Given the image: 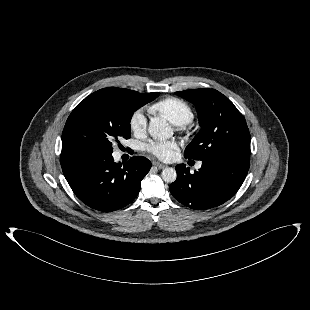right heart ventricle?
Wrapping results in <instances>:
<instances>
[{
    "mask_svg": "<svg viewBox=\"0 0 310 310\" xmlns=\"http://www.w3.org/2000/svg\"><path fill=\"white\" fill-rule=\"evenodd\" d=\"M149 110L159 114L175 125H186L194 118L192 107L178 97H166L153 103Z\"/></svg>",
    "mask_w": 310,
    "mask_h": 310,
    "instance_id": "obj_1",
    "label": "right heart ventricle"
}]
</instances>
